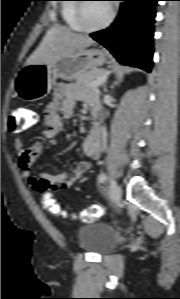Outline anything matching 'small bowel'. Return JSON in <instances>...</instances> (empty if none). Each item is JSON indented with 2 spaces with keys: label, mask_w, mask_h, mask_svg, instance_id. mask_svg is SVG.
Returning a JSON list of instances; mask_svg holds the SVG:
<instances>
[{
  "label": "small bowel",
  "mask_w": 180,
  "mask_h": 299,
  "mask_svg": "<svg viewBox=\"0 0 180 299\" xmlns=\"http://www.w3.org/2000/svg\"><path fill=\"white\" fill-rule=\"evenodd\" d=\"M97 96L85 91L74 84L59 83L53 92V100L44 112V138L50 140L57 137L62 131L63 121L71 118L79 102L95 103ZM101 133L98 129L92 130L82 143L83 154L97 159L100 156ZM24 140L16 139L15 148L19 154V165L28 184L35 189L37 182L48 183L52 186L70 187L89 170L90 163L81 161L58 174L35 175L31 168L42 153V144L35 142L29 147L24 146Z\"/></svg>",
  "instance_id": "small-bowel-1"
}]
</instances>
